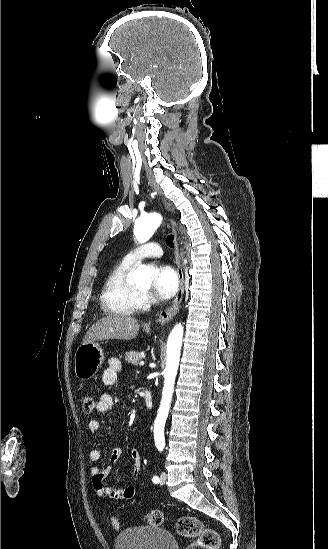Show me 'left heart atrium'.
I'll return each instance as SVG.
<instances>
[{
  "mask_svg": "<svg viewBox=\"0 0 328 549\" xmlns=\"http://www.w3.org/2000/svg\"><path fill=\"white\" fill-rule=\"evenodd\" d=\"M179 283L175 269L166 264L155 269L151 290L157 299L167 300L175 295Z\"/></svg>",
  "mask_w": 328,
  "mask_h": 549,
  "instance_id": "1",
  "label": "left heart atrium"
}]
</instances>
